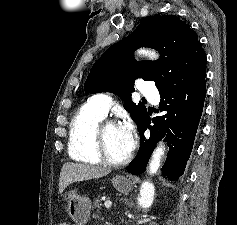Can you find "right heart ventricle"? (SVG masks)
<instances>
[{"instance_id": "right-heart-ventricle-1", "label": "right heart ventricle", "mask_w": 237, "mask_h": 225, "mask_svg": "<svg viewBox=\"0 0 237 225\" xmlns=\"http://www.w3.org/2000/svg\"><path fill=\"white\" fill-rule=\"evenodd\" d=\"M104 117L92 99L80 107L70 123L68 153L73 160L86 164L100 163L95 149L94 129Z\"/></svg>"}]
</instances>
